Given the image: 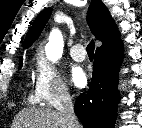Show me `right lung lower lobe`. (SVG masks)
Masks as SVG:
<instances>
[{
    "instance_id": "98d812e1",
    "label": "right lung lower lobe",
    "mask_w": 142,
    "mask_h": 128,
    "mask_svg": "<svg viewBox=\"0 0 142 128\" xmlns=\"http://www.w3.org/2000/svg\"><path fill=\"white\" fill-rule=\"evenodd\" d=\"M123 46L96 50L93 75L87 94H80L74 110L86 128H114L120 100L118 72Z\"/></svg>"
}]
</instances>
